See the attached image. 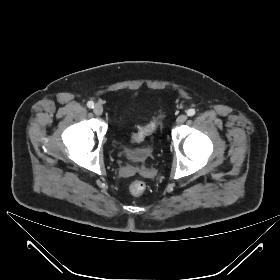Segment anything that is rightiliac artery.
<instances>
[{"label":"right iliac artery","instance_id":"right-iliac-artery-1","mask_svg":"<svg viewBox=\"0 0 280 280\" xmlns=\"http://www.w3.org/2000/svg\"><path fill=\"white\" fill-rule=\"evenodd\" d=\"M87 106H88L89 108H94V102H93V101H89V102L87 103Z\"/></svg>","mask_w":280,"mask_h":280}]
</instances>
